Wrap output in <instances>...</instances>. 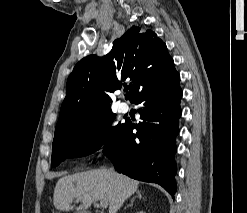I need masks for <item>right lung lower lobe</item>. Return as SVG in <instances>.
<instances>
[{
	"instance_id": "obj_1",
	"label": "right lung lower lobe",
	"mask_w": 247,
	"mask_h": 213,
	"mask_svg": "<svg viewBox=\"0 0 247 213\" xmlns=\"http://www.w3.org/2000/svg\"><path fill=\"white\" fill-rule=\"evenodd\" d=\"M179 82L180 75L173 66L144 85L130 100L140 105L142 121L136 125L126 121L116 143L104 152L119 173L157 183L173 198L177 189L175 138L179 133L182 98Z\"/></svg>"
}]
</instances>
